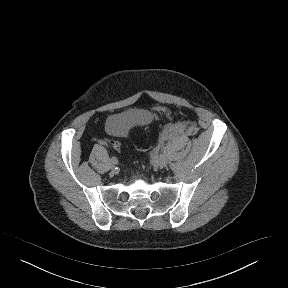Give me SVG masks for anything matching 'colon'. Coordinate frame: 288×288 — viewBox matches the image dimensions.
<instances>
[{"label": "colon", "mask_w": 288, "mask_h": 288, "mask_svg": "<svg viewBox=\"0 0 288 288\" xmlns=\"http://www.w3.org/2000/svg\"><path fill=\"white\" fill-rule=\"evenodd\" d=\"M110 145H111L112 148L115 149V152H116V153H119V152H120L121 146H120V143H119V142H117V141H115V140H112V141L110 142Z\"/></svg>", "instance_id": "colon-1"}]
</instances>
